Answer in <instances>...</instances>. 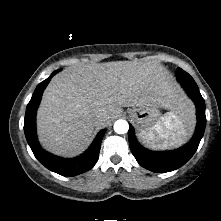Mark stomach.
<instances>
[{"label": "stomach", "instance_id": "stomach-1", "mask_svg": "<svg viewBox=\"0 0 221 221\" xmlns=\"http://www.w3.org/2000/svg\"><path fill=\"white\" fill-rule=\"evenodd\" d=\"M159 106L157 104L146 105L142 107H134L128 111L129 116L133 123L140 131V134L148 136L153 135V139H146V144H151L152 142L156 145L162 144V140L157 132V126L162 122V116L159 111Z\"/></svg>", "mask_w": 221, "mask_h": 221}]
</instances>
